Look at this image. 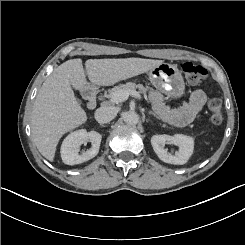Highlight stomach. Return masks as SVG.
<instances>
[{
  "mask_svg": "<svg viewBox=\"0 0 245 245\" xmlns=\"http://www.w3.org/2000/svg\"><path fill=\"white\" fill-rule=\"evenodd\" d=\"M153 86L171 98H180L185 91L181 72L176 65L162 63L148 72Z\"/></svg>",
  "mask_w": 245,
  "mask_h": 245,
  "instance_id": "stomach-1",
  "label": "stomach"
}]
</instances>
